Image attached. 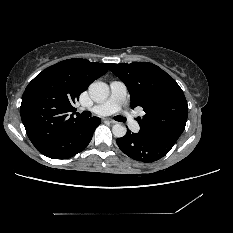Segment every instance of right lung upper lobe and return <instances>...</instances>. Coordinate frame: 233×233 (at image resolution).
<instances>
[{
	"label": "right lung upper lobe",
	"mask_w": 233,
	"mask_h": 233,
	"mask_svg": "<svg viewBox=\"0 0 233 233\" xmlns=\"http://www.w3.org/2000/svg\"><path fill=\"white\" fill-rule=\"evenodd\" d=\"M109 66L86 59H67L46 68L28 84L20 114L27 136L36 148L50 143L83 119L73 104Z\"/></svg>",
	"instance_id": "right-lung-upper-lobe-1"
}]
</instances>
